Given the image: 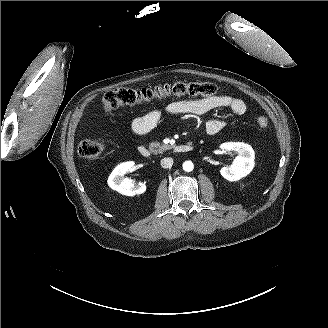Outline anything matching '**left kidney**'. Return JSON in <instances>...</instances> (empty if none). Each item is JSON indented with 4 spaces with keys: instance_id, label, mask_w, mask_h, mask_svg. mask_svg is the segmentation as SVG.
Segmentation results:
<instances>
[{
    "instance_id": "left-kidney-1",
    "label": "left kidney",
    "mask_w": 328,
    "mask_h": 328,
    "mask_svg": "<svg viewBox=\"0 0 328 328\" xmlns=\"http://www.w3.org/2000/svg\"><path fill=\"white\" fill-rule=\"evenodd\" d=\"M225 152H237L239 155L228 168H221L220 174L229 182H235L248 176L255 167V153L253 148L243 142H225L221 144Z\"/></svg>"
}]
</instances>
